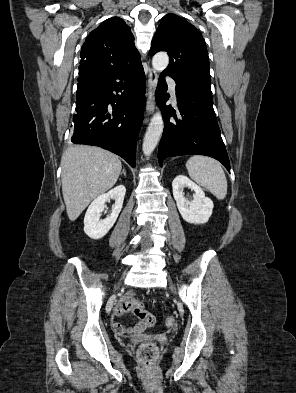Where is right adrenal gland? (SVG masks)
I'll return each mask as SVG.
<instances>
[{"mask_svg":"<svg viewBox=\"0 0 296 393\" xmlns=\"http://www.w3.org/2000/svg\"><path fill=\"white\" fill-rule=\"evenodd\" d=\"M121 174H123L124 176H126L125 169H123V171H122V173H121Z\"/></svg>","mask_w":296,"mask_h":393,"instance_id":"right-adrenal-gland-1","label":"right adrenal gland"}]
</instances>
